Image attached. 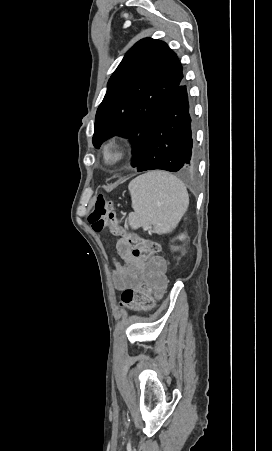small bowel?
<instances>
[{"label": "small bowel", "mask_w": 272, "mask_h": 451, "mask_svg": "<svg viewBox=\"0 0 272 451\" xmlns=\"http://www.w3.org/2000/svg\"><path fill=\"white\" fill-rule=\"evenodd\" d=\"M116 250L123 261V263H120L116 258H113L115 265L113 283L119 291L132 288L140 283L144 279V272L149 263L154 264L157 273L162 276L167 271L166 260L154 254H146L144 260H133L131 245H122L121 239L117 241Z\"/></svg>", "instance_id": "obj_1"}]
</instances>
